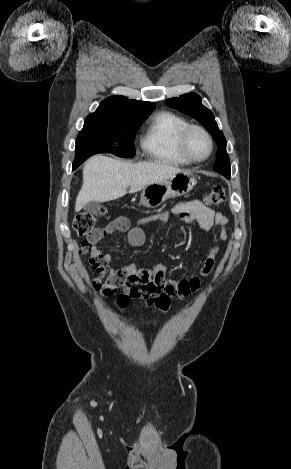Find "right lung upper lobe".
<instances>
[{
	"instance_id": "right-lung-upper-lobe-1",
	"label": "right lung upper lobe",
	"mask_w": 291,
	"mask_h": 469,
	"mask_svg": "<svg viewBox=\"0 0 291 469\" xmlns=\"http://www.w3.org/2000/svg\"><path fill=\"white\" fill-rule=\"evenodd\" d=\"M154 106L151 102L130 100L124 96H111L103 100L97 110L87 117L114 120L146 118Z\"/></svg>"
}]
</instances>
